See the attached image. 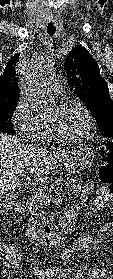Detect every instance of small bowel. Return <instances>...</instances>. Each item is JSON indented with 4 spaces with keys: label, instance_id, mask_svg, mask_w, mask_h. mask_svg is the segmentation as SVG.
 <instances>
[{
    "label": "small bowel",
    "instance_id": "c3829d8e",
    "mask_svg": "<svg viewBox=\"0 0 113 279\" xmlns=\"http://www.w3.org/2000/svg\"><path fill=\"white\" fill-rule=\"evenodd\" d=\"M93 191V185L91 183H88L84 186L82 191V201L85 202L88 198V196ZM113 202V195L111 194H103L99 195L94 203L97 206L103 207L107 204H110ZM113 232V220L110 222L105 223L102 226V229L99 233L95 234L94 236L87 238V244L90 249L96 250L99 245L101 244V238L102 235L105 233H112ZM20 265V257H17L13 260L10 266L16 268ZM74 278L77 279H113V274H110L106 271L103 267H94L92 268L88 273H84L82 271H78Z\"/></svg>",
    "mask_w": 113,
    "mask_h": 279
}]
</instances>
